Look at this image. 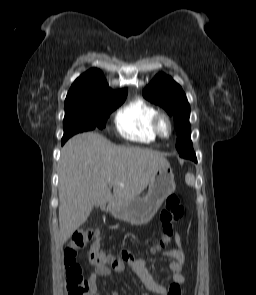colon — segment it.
Here are the masks:
<instances>
[{
	"label": "colon",
	"mask_w": 256,
	"mask_h": 295,
	"mask_svg": "<svg viewBox=\"0 0 256 295\" xmlns=\"http://www.w3.org/2000/svg\"><path fill=\"white\" fill-rule=\"evenodd\" d=\"M184 213L185 210L181 204L180 196L177 194L168 196L159 215L162 228V246L170 242L175 225L184 216ZM94 235L95 232L92 229L78 230L73 233L65 248L64 267L68 295H90L89 285L82 275L76 257L92 241ZM88 260L93 266H102L110 262L112 258L100 249L98 243H94L89 250Z\"/></svg>",
	"instance_id": "1"
}]
</instances>
